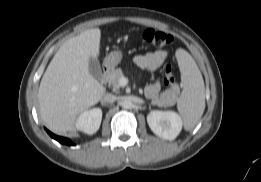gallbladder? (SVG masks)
Segmentation results:
<instances>
[{"label": "gallbladder", "mask_w": 261, "mask_h": 182, "mask_svg": "<svg viewBox=\"0 0 261 182\" xmlns=\"http://www.w3.org/2000/svg\"><path fill=\"white\" fill-rule=\"evenodd\" d=\"M89 73L97 80L102 76L100 64L95 58H90L89 60Z\"/></svg>", "instance_id": "1"}]
</instances>
